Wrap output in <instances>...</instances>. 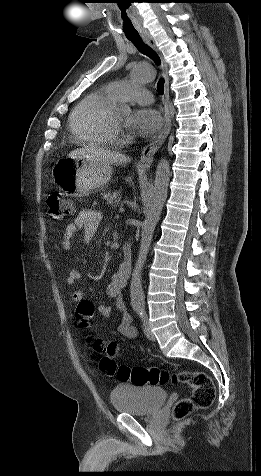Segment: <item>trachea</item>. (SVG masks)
<instances>
[{"mask_svg": "<svg viewBox=\"0 0 261 476\" xmlns=\"http://www.w3.org/2000/svg\"><path fill=\"white\" fill-rule=\"evenodd\" d=\"M127 38L134 44L139 52L151 58L156 64H160V58L157 53L151 47L145 44L139 35L129 36ZM157 91L160 95L164 94V79H160L158 81Z\"/></svg>", "mask_w": 261, "mask_h": 476, "instance_id": "1", "label": "trachea"}]
</instances>
